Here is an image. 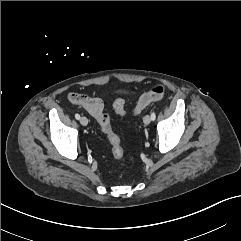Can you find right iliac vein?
<instances>
[{
    "label": "right iliac vein",
    "mask_w": 241,
    "mask_h": 241,
    "mask_svg": "<svg viewBox=\"0 0 241 241\" xmlns=\"http://www.w3.org/2000/svg\"><path fill=\"white\" fill-rule=\"evenodd\" d=\"M80 123L81 125L86 126L88 124V119L83 116L80 118Z\"/></svg>",
    "instance_id": "1"
}]
</instances>
